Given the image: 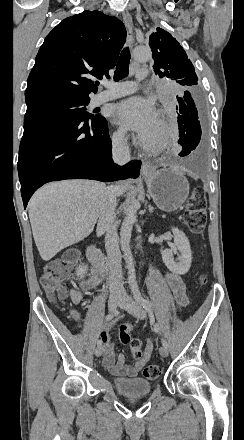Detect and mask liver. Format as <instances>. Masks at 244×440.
I'll list each match as a JSON object with an SVG mask.
<instances>
[{
    "label": "liver",
    "mask_w": 244,
    "mask_h": 440,
    "mask_svg": "<svg viewBox=\"0 0 244 440\" xmlns=\"http://www.w3.org/2000/svg\"><path fill=\"white\" fill-rule=\"evenodd\" d=\"M115 188L117 196H122L128 186ZM104 194L105 184L92 180L49 182L33 194L29 220L42 260L48 262L93 232Z\"/></svg>",
    "instance_id": "6515ba94"
}]
</instances>
